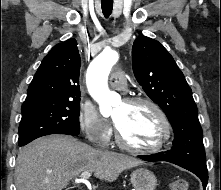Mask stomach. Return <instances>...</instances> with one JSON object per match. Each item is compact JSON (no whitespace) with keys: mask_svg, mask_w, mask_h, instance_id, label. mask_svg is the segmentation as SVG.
<instances>
[{"mask_svg":"<svg viewBox=\"0 0 221 190\" xmlns=\"http://www.w3.org/2000/svg\"><path fill=\"white\" fill-rule=\"evenodd\" d=\"M130 180L134 190H155L157 186L156 176L145 168L134 170L130 175Z\"/></svg>","mask_w":221,"mask_h":190,"instance_id":"1","label":"stomach"}]
</instances>
